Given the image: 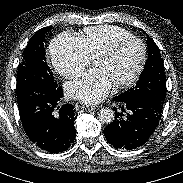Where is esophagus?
Wrapping results in <instances>:
<instances>
[{"instance_id": "1", "label": "esophagus", "mask_w": 183, "mask_h": 183, "mask_svg": "<svg viewBox=\"0 0 183 183\" xmlns=\"http://www.w3.org/2000/svg\"><path fill=\"white\" fill-rule=\"evenodd\" d=\"M75 109L77 112L92 111L95 109L94 106L84 105L81 102L76 103Z\"/></svg>"}]
</instances>
